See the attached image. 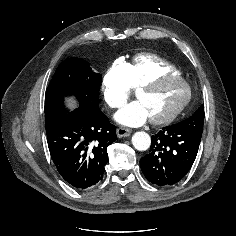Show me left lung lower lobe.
Wrapping results in <instances>:
<instances>
[{
	"instance_id": "obj_1",
	"label": "left lung lower lobe",
	"mask_w": 236,
	"mask_h": 236,
	"mask_svg": "<svg viewBox=\"0 0 236 236\" xmlns=\"http://www.w3.org/2000/svg\"><path fill=\"white\" fill-rule=\"evenodd\" d=\"M202 133L176 125L151 137L150 153L140 159L143 174L153 184L173 185L190 170Z\"/></svg>"
}]
</instances>
